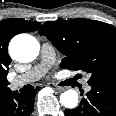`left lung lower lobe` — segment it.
Masks as SVG:
<instances>
[{"mask_svg":"<svg viewBox=\"0 0 116 116\" xmlns=\"http://www.w3.org/2000/svg\"><path fill=\"white\" fill-rule=\"evenodd\" d=\"M91 90L66 116H116V85L93 84Z\"/></svg>","mask_w":116,"mask_h":116,"instance_id":"obj_1","label":"left lung lower lobe"}]
</instances>
